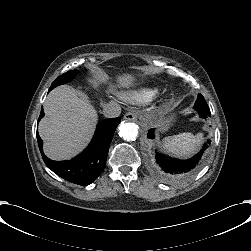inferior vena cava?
<instances>
[{
    "instance_id": "inferior-vena-cava-1",
    "label": "inferior vena cava",
    "mask_w": 251,
    "mask_h": 251,
    "mask_svg": "<svg viewBox=\"0 0 251 251\" xmlns=\"http://www.w3.org/2000/svg\"><path fill=\"white\" fill-rule=\"evenodd\" d=\"M121 113V107L118 103L109 102L103 105V114L106 118L118 117Z\"/></svg>"
}]
</instances>
